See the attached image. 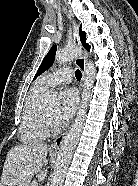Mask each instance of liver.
Listing matches in <instances>:
<instances>
[{"label":"liver","mask_w":138,"mask_h":186,"mask_svg":"<svg viewBox=\"0 0 138 186\" xmlns=\"http://www.w3.org/2000/svg\"><path fill=\"white\" fill-rule=\"evenodd\" d=\"M48 145L28 143L12 147L6 157L0 186H29L33 176L47 164Z\"/></svg>","instance_id":"1"}]
</instances>
